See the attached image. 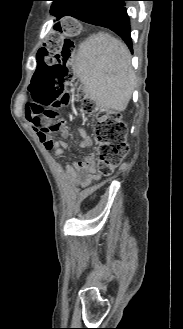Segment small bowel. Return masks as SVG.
I'll return each mask as SVG.
<instances>
[{
	"label": "small bowel",
	"mask_w": 183,
	"mask_h": 329,
	"mask_svg": "<svg viewBox=\"0 0 183 329\" xmlns=\"http://www.w3.org/2000/svg\"><path fill=\"white\" fill-rule=\"evenodd\" d=\"M24 116L26 120L31 124L32 128L36 132V135L40 142L44 145V147L49 150L53 151L54 156L58 157L61 156L66 150L69 149V145L65 140L61 141H53L49 138V133H43L42 127H47L45 125L44 119L32 115V114H25ZM62 131L63 127H61ZM84 134V131H82ZM49 142L51 144L49 145ZM91 145V139L89 137L84 136V138L80 142V146L82 148H87ZM96 156L95 154L91 153L87 156L81 158L73 162L71 165L66 167V172L73 176L77 183L84 189L91 188L99 179V173L97 172L96 165ZM90 194V190L86 191V195Z\"/></svg>",
	"instance_id": "1"
}]
</instances>
